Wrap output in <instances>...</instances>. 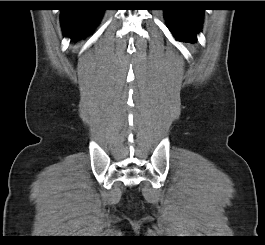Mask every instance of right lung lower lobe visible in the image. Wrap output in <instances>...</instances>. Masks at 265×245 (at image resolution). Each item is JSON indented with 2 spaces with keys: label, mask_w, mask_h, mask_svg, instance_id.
Segmentation results:
<instances>
[{
  "label": "right lung lower lobe",
  "mask_w": 265,
  "mask_h": 245,
  "mask_svg": "<svg viewBox=\"0 0 265 245\" xmlns=\"http://www.w3.org/2000/svg\"><path fill=\"white\" fill-rule=\"evenodd\" d=\"M103 11L92 3L62 10L61 24L64 36L70 37L71 40L85 37L98 24Z\"/></svg>",
  "instance_id": "1"
}]
</instances>
